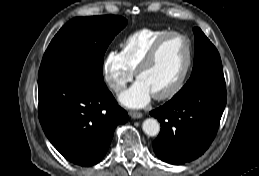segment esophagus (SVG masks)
Wrapping results in <instances>:
<instances>
[{
    "mask_svg": "<svg viewBox=\"0 0 259 176\" xmlns=\"http://www.w3.org/2000/svg\"><path fill=\"white\" fill-rule=\"evenodd\" d=\"M129 115L133 118V119H139L142 118V113L137 112V111H130Z\"/></svg>",
    "mask_w": 259,
    "mask_h": 176,
    "instance_id": "1",
    "label": "esophagus"
}]
</instances>
